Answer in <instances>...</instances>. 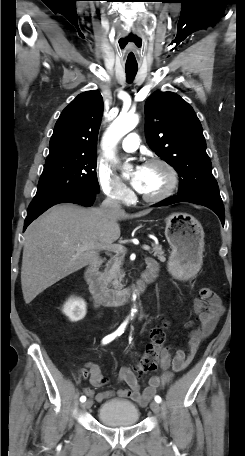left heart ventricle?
Masks as SVG:
<instances>
[{
    "label": "left heart ventricle",
    "instance_id": "b2bd125f",
    "mask_svg": "<svg viewBox=\"0 0 245 456\" xmlns=\"http://www.w3.org/2000/svg\"><path fill=\"white\" fill-rule=\"evenodd\" d=\"M169 183L167 171L158 165L143 167L141 193L156 195L162 192Z\"/></svg>",
    "mask_w": 245,
    "mask_h": 456
}]
</instances>
